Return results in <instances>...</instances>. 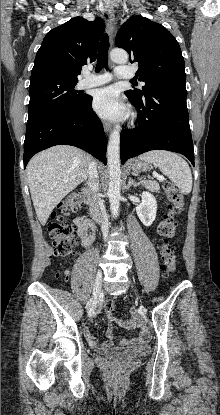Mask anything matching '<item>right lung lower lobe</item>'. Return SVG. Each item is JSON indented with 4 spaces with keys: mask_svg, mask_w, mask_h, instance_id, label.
<instances>
[{
    "mask_svg": "<svg viewBox=\"0 0 220 415\" xmlns=\"http://www.w3.org/2000/svg\"><path fill=\"white\" fill-rule=\"evenodd\" d=\"M86 95L75 109L53 107L28 118L24 141V167L39 151L55 145L79 147L106 164L107 138Z\"/></svg>",
    "mask_w": 220,
    "mask_h": 415,
    "instance_id": "1",
    "label": "right lung lower lobe"
}]
</instances>
